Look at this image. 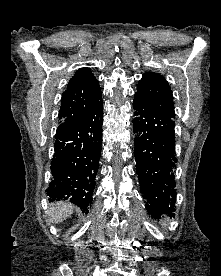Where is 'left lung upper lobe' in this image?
<instances>
[{
	"label": "left lung upper lobe",
	"mask_w": 221,
	"mask_h": 276,
	"mask_svg": "<svg viewBox=\"0 0 221 276\" xmlns=\"http://www.w3.org/2000/svg\"><path fill=\"white\" fill-rule=\"evenodd\" d=\"M152 109L175 118L173 95L167 81L159 74L147 72L138 82L137 93Z\"/></svg>",
	"instance_id": "left-lung-upper-lobe-1"
}]
</instances>
